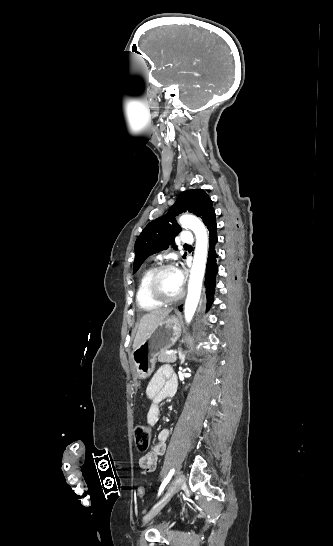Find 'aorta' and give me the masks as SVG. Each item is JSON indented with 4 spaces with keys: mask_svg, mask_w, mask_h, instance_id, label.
<instances>
[{
    "mask_svg": "<svg viewBox=\"0 0 333 546\" xmlns=\"http://www.w3.org/2000/svg\"><path fill=\"white\" fill-rule=\"evenodd\" d=\"M182 227L191 229L196 236V247L185 301V319L190 323L198 305L205 272L208 235L204 224L195 216L184 214L179 218Z\"/></svg>",
    "mask_w": 333,
    "mask_h": 546,
    "instance_id": "aorta-1",
    "label": "aorta"
}]
</instances>
